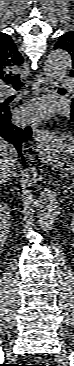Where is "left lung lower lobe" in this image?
<instances>
[{
  "label": "left lung lower lobe",
  "instance_id": "obj_1",
  "mask_svg": "<svg viewBox=\"0 0 74 366\" xmlns=\"http://www.w3.org/2000/svg\"><path fill=\"white\" fill-rule=\"evenodd\" d=\"M71 120L74 124V100H72V105H71Z\"/></svg>",
  "mask_w": 74,
  "mask_h": 366
}]
</instances>
